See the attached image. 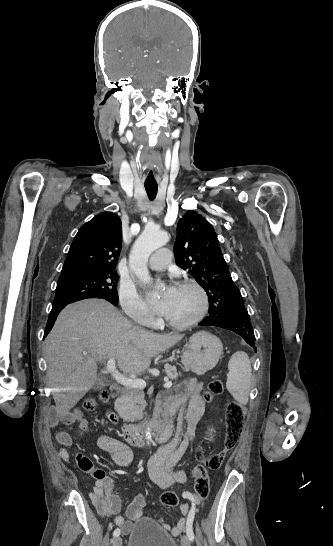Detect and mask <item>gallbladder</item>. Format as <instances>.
I'll return each instance as SVG.
<instances>
[{"label":"gallbladder","instance_id":"obj_1","mask_svg":"<svg viewBox=\"0 0 333 546\" xmlns=\"http://www.w3.org/2000/svg\"><path fill=\"white\" fill-rule=\"evenodd\" d=\"M105 386V381L103 380H99L95 385H94V389L97 390L99 388H102Z\"/></svg>","mask_w":333,"mask_h":546}]
</instances>
